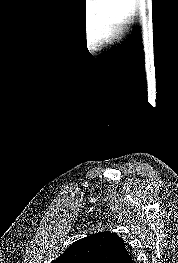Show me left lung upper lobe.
Wrapping results in <instances>:
<instances>
[{"mask_svg": "<svg viewBox=\"0 0 178 263\" xmlns=\"http://www.w3.org/2000/svg\"><path fill=\"white\" fill-rule=\"evenodd\" d=\"M124 247L116 233L99 232L77 240L51 263H109Z\"/></svg>", "mask_w": 178, "mask_h": 263, "instance_id": "1", "label": "left lung upper lobe"}]
</instances>
